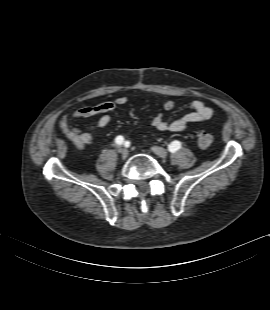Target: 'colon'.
Wrapping results in <instances>:
<instances>
[{
    "label": "colon",
    "instance_id": "obj_1",
    "mask_svg": "<svg viewBox=\"0 0 270 310\" xmlns=\"http://www.w3.org/2000/svg\"><path fill=\"white\" fill-rule=\"evenodd\" d=\"M197 142L200 147H209L213 142V137L206 131H201L197 134Z\"/></svg>",
    "mask_w": 270,
    "mask_h": 310
}]
</instances>
